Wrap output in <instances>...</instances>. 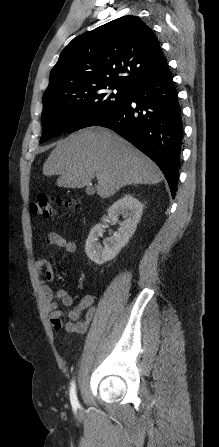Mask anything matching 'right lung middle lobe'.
I'll list each match as a JSON object with an SVG mask.
<instances>
[{"label": "right lung middle lobe", "mask_w": 219, "mask_h": 447, "mask_svg": "<svg viewBox=\"0 0 219 447\" xmlns=\"http://www.w3.org/2000/svg\"><path fill=\"white\" fill-rule=\"evenodd\" d=\"M130 94L131 91L121 86L104 85L83 94L55 93L43 97L41 142L64 132L89 127L104 114L125 103Z\"/></svg>", "instance_id": "dd1d6c3e"}]
</instances>
